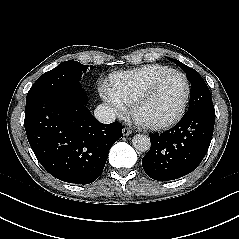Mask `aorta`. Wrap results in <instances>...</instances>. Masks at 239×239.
<instances>
[{"label":"aorta","mask_w":239,"mask_h":239,"mask_svg":"<svg viewBox=\"0 0 239 239\" xmlns=\"http://www.w3.org/2000/svg\"><path fill=\"white\" fill-rule=\"evenodd\" d=\"M133 147L139 152H146L150 149V138L144 134H136L132 139Z\"/></svg>","instance_id":"1"}]
</instances>
